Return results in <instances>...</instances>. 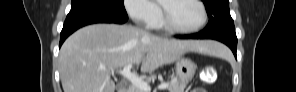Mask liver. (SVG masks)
Masks as SVG:
<instances>
[{
    "label": "liver",
    "mask_w": 296,
    "mask_h": 92,
    "mask_svg": "<svg viewBox=\"0 0 296 92\" xmlns=\"http://www.w3.org/2000/svg\"><path fill=\"white\" fill-rule=\"evenodd\" d=\"M214 41L166 39L131 25L93 24L73 33L59 54L64 92H115L111 75L128 64L142 73L177 61L187 52L213 55Z\"/></svg>",
    "instance_id": "obj_1"
}]
</instances>
